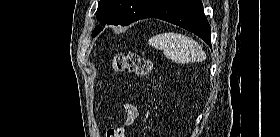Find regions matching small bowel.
Segmentation results:
<instances>
[{
  "instance_id": "1",
  "label": "small bowel",
  "mask_w": 280,
  "mask_h": 137,
  "mask_svg": "<svg viewBox=\"0 0 280 137\" xmlns=\"http://www.w3.org/2000/svg\"><path fill=\"white\" fill-rule=\"evenodd\" d=\"M123 109L125 112V126L133 125L139 116L138 108L133 104L125 103Z\"/></svg>"
}]
</instances>
